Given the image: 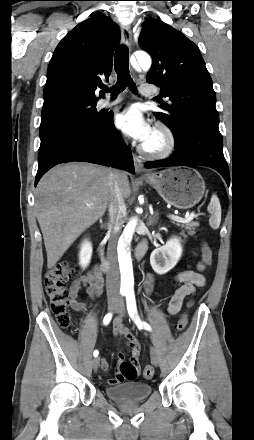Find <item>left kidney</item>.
<instances>
[{"label":"left kidney","mask_w":254,"mask_h":440,"mask_svg":"<svg viewBox=\"0 0 254 440\" xmlns=\"http://www.w3.org/2000/svg\"><path fill=\"white\" fill-rule=\"evenodd\" d=\"M183 249L180 239L172 237L166 244L155 249L150 256V264L155 273L163 275L173 269L181 258Z\"/></svg>","instance_id":"left-kidney-1"}]
</instances>
